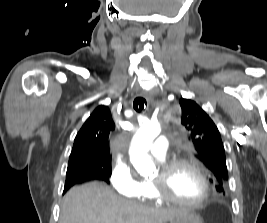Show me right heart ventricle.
<instances>
[{
    "label": "right heart ventricle",
    "mask_w": 267,
    "mask_h": 223,
    "mask_svg": "<svg viewBox=\"0 0 267 223\" xmlns=\"http://www.w3.org/2000/svg\"><path fill=\"white\" fill-rule=\"evenodd\" d=\"M138 192L136 195L138 199L143 201H155L157 202V197L152 188L151 182L149 180H141L139 181Z\"/></svg>",
    "instance_id": "1"
}]
</instances>
